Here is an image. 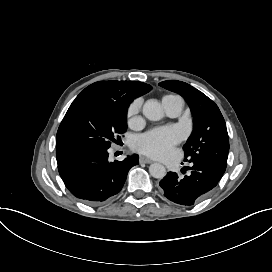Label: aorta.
<instances>
[{"label":"aorta","mask_w":272,"mask_h":272,"mask_svg":"<svg viewBox=\"0 0 272 272\" xmlns=\"http://www.w3.org/2000/svg\"><path fill=\"white\" fill-rule=\"evenodd\" d=\"M142 113L147 119L152 121H158L163 117V111L156 99H148L142 107ZM149 173L154 178L163 179L166 175V169L160 163H153L149 167Z\"/></svg>","instance_id":"762f6f07"}]
</instances>
